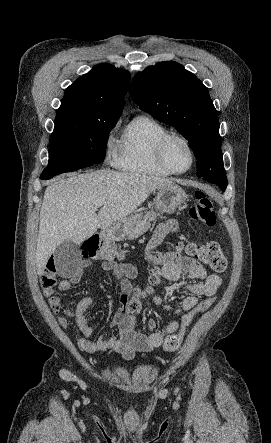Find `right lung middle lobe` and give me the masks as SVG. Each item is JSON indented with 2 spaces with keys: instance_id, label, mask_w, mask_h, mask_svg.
Segmentation results:
<instances>
[{
  "instance_id": "right-lung-middle-lobe-1",
  "label": "right lung middle lobe",
  "mask_w": 271,
  "mask_h": 443,
  "mask_svg": "<svg viewBox=\"0 0 271 443\" xmlns=\"http://www.w3.org/2000/svg\"><path fill=\"white\" fill-rule=\"evenodd\" d=\"M119 116L85 117L70 108L57 110L49 163L42 172L78 170L103 161L109 132Z\"/></svg>"
}]
</instances>
